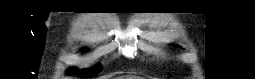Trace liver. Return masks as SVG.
<instances>
[{"mask_svg": "<svg viewBox=\"0 0 255 79\" xmlns=\"http://www.w3.org/2000/svg\"><path fill=\"white\" fill-rule=\"evenodd\" d=\"M127 79H140L137 76H127Z\"/></svg>", "mask_w": 255, "mask_h": 79, "instance_id": "1", "label": "liver"}]
</instances>
